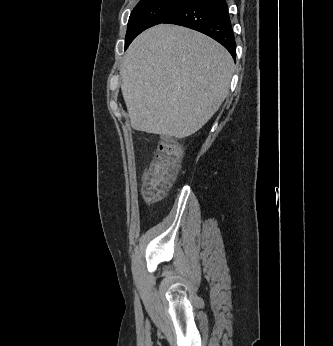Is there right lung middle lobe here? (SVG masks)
<instances>
[{
  "label": "right lung middle lobe",
  "mask_w": 333,
  "mask_h": 346,
  "mask_svg": "<svg viewBox=\"0 0 333 346\" xmlns=\"http://www.w3.org/2000/svg\"><path fill=\"white\" fill-rule=\"evenodd\" d=\"M185 0H140L131 12L125 37V50L142 31L163 23Z\"/></svg>",
  "instance_id": "dd1d6c3e"
}]
</instances>
